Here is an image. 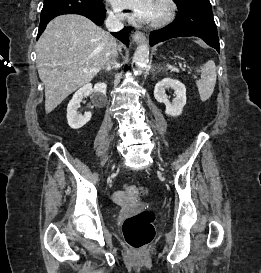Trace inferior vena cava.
Wrapping results in <instances>:
<instances>
[{
  "instance_id": "obj_1",
  "label": "inferior vena cava",
  "mask_w": 261,
  "mask_h": 273,
  "mask_svg": "<svg viewBox=\"0 0 261 273\" xmlns=\"http://www.w3.org/2000/svg\"><path fill=\"white\" fill-rule=\"evenodd\" d=\"M122 17L119 15H116L112 12H109L108 17L105 21V25L107 29L111 32H117L123 29L124 25L122 23ZM112 43H111V51H110V58H112L108 63H115V58L117 56L118 46L116 42L114 41V38L111 37Z\"/></svg>"
}]
</instances>
